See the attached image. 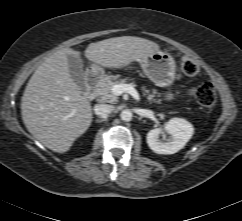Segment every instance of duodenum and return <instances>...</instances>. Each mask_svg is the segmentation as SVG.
I'll list each match as a JSON object with an SVG mask.
<instances>
[{
	"instance_id": "410a0bca",
	"label": "duodenum",
	"mask_w": 242,
	"mask_h": 221,
	"mask_svg": "<svg viewBox=\"0 0 242 221\" xmlns=\"http://www.w3.org/2000/svg\"><path fill=\"white\" fill-rule=\"evenodd\" d=\"M101 80V74L90 71L87 76V92L86 97L93 99L96 96L97 84Z\"/></svg>"
}]
</instances>
